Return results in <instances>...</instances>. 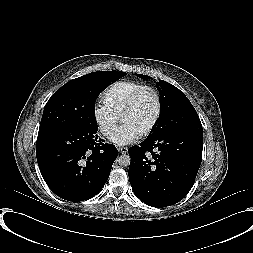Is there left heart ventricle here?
Masks as SVG:
<instances>
[{
    "label": "left heart ventricle",
    "instance_id": "1",
    "mask_svg": "<svg viewBox=\"0 0 253 253\" xmlns=\"http://www.w3.org/2000/svg\"><path fill=\"white\" fill-rule=\"evenodd\" d=\"M156 98L152 92H144L135 106L124 116L122 122L129 123L139 131L145 130L156 112Z\"/></svg>",
    "mask_w": 253,
    "mask_h": 253
}]
</instances>
